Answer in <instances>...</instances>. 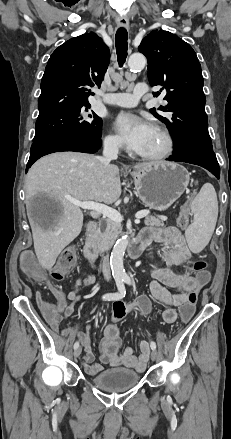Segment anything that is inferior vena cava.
Returning <instances> with one entry per match:
<instances>
[{
	"instance_id": "1",
	"label": "inferior vena cava",
	"mask_w": 231,
	"mask_h": 439,
	"mask_svg": "<svg viewBox=\"0 0 231 439\" xmlns=\"http://www.w3.org/2000/svg\"><path fill=\"white\" fill-rule=\"evenodd\" d=\"M119 143L114 140L104 141L103 155L99 157V161L104 167H107L112 160L118 157ZM102 272L106 280L111 279V270L108 256L102 258Z\"/></svg>"
}]
</instances>
